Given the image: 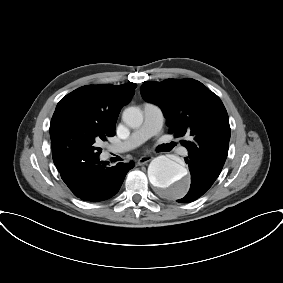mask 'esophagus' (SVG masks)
<instances>
[{
	"label": "esophagus",
	"mask_w": 283,
	"mask_h": 283,
	"mask_svg": "<svg viewBox=\"0 0 283 283\" xmlns=\"http://www.w3.org/2000/svg\"><path fill=\"white\" fill-rule=\"evenodd\" d=\"M152 159L151 156H142L138 161H137V164L138 165H144L146 163H148L150 160Z\"/></svg>",
	"instance_id": "esophagus-1"
}]
</instances>
